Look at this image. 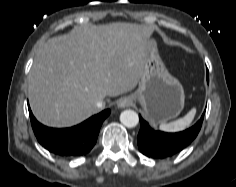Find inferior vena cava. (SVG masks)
<instances>
[{"label": "inferior vena cava", "instance_id": "1", "mask_svg": "<svg viewBox=\"0 0 236 187\" xmlns=\"http://www.w3.org/2000/svg\"><path fill=\"white\" fill-rule=\"evenodd\" d=\"M96 107L100 110V109H103L105 107V102L104 101H98L96 103Z\"/></svg>", "mask_w": 236, "mask_h": 187}]
</instances>
